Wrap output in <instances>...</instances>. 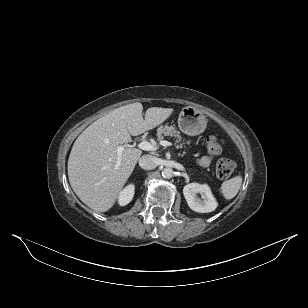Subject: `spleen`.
Returning a JSON list of instances; mask_svg holds the SVG:
<instances>
[{
	"label": "spleen",
	"mask_w": 308,
	"mask_h": 308,
	"mask_svg": "<svg viewBox=\"0 0 308 308\" xmlns=\"http://www.w3.org/2000/svg\"><path fill=\"white\" fill-rule=\"evenodd\" d=\"M242 185V177L235 176L227 181H224L221 185V191L225 199L230 200L234 198Z\"/></svg>",
	"instance_id": "3e777b00"
}]
</instances>
